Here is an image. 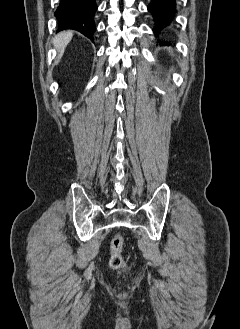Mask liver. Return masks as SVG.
<instances>
[{
    "mask_svg": "<svg viewBox=\"0 0 240 329\" xmlns=\"http://www.w3.org/2000/svg\"><path fill=\"white\" fill-rule=\"evenodd\" d=\"M72 36L73 33L71 31H63L54 38L53 45L59 52L58 59L62 57L66 46L72 39Z\"/></svg>",
    "mask_w": 240,
    "mask_h": 329,
    "instance_id": "6515ba94",
    "label": "liver"
}]
</instances>
